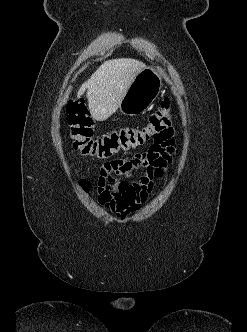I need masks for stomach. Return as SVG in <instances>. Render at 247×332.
<instances>
[{
  "label": "stomach",
  "mask_w": 247,
  "mask_h": 332,
  "mask_svg": "<svg viewBox=\"0 0 247 332\" xmlns=\"http://www.w3.org/2000/svg\"><path fill=\"white\" fill-rule=\"evenodd\" d=\"M162 79L154 67H145L136 75L125 93L119 109L124 115L137 116L145 113L159 95Z\"/></svg>",
  "instance_id": "0dacf381"
}]
</instances>
